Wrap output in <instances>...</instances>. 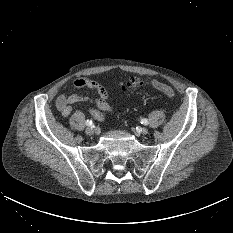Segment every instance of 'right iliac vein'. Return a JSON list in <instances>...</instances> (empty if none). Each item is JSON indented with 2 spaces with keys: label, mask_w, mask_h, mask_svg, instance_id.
Here are the masks:
<instances>
[{
  "label": "right iliac vein",
  "mask_w": 233,
  "mask_h": 233,
  "mask_svg": "<svg viewBox=\"0 0 233 233\" xmlns=\"http://www.w3.org/2000/svg\"><path fill=\"white\" fill-rule=\"evenodd\" d=\"M85 132L87 135H93L95 132V129L93 127H88L86 128Z\"/></svg>",
  "instance_id": "obj_1"
}]
</instances>
